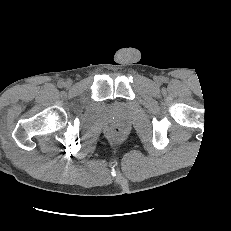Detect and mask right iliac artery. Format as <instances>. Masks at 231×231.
<instances>
[{"instance_id": "1", "label": "right iliac artery", "mask_w": 231, "mask_h": 231, "mask_svg": "<svg viewBox=\"0 0 231 231\" xmlns=\"http://www.w3.org/2000/svg\"><path fill=\"white\" fill-rule=\"evenodd\" d=\"M58 86H59V87H63V86H64V82H63V81H59V82H58Z\"/></svg>"}]
</instances>
